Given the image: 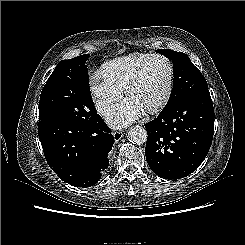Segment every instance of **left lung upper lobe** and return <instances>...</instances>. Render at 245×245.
I'll return each instance as SVG.
<instances>
[{
  "mask_svg": "<svg viewBox=\"0 0 245 245\" xmlns=\"http://www.w3.org/2000/svg\"><path fill=\"white\" fill-rule=\"evenodd\" d=\"M156 51L173 62L174 85L170 98L162 111L171 109L194 92L208 90L204 76L185 53L168 49Z\"/></svg>",
  "mask_w": 245,
  "mask_h": 245,
  "instance_id": "obj_1",
  "label": "left lung upper lobe"
}]
</instances>
